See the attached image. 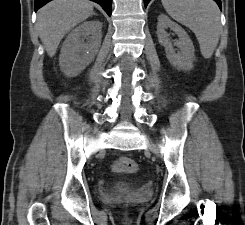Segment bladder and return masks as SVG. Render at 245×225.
Instances as JSON below:
<instances>
[{
    "mask_svg": "<svg viewBox=\"0 0 245 225\" xmlns=\"http://www.w3.org/2000/svg\"><path fill=\"white\" fill-rule=\"evenodd\" d=\"M122 188L125 189V190H129L131 188V186H130V184H124L122 186Z\"/></svg>",
    "mask_w": 245,
    "mask_h": 225,
    "instance_id": "bladder-1",
    "label": "bladder"
}]
</instances>
